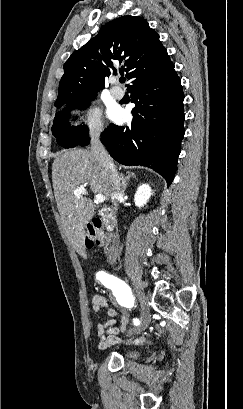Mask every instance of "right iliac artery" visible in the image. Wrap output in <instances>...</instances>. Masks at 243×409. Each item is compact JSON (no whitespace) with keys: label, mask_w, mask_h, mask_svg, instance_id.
Wrapping results in <instances>:
<instances>
[{"label":"right iliac artery","mask_w":243,"mask_h":409,"mask_svg":"<svg viewBox=\"0 0 243 409\" xmlns=\"http://www.w3.org/2000/svg\"><path fill=\"white\" fill-rule=\"evenodd\" d=\"M97 280H99L105 287L112 290L117 301L126 307H132L134 303V295L131 292L130 287L121 279L108 274L104 271H99L96 274ZM139 319H134V325H139Z\"/></svg>","instance_id":"1"}]
</instances>
